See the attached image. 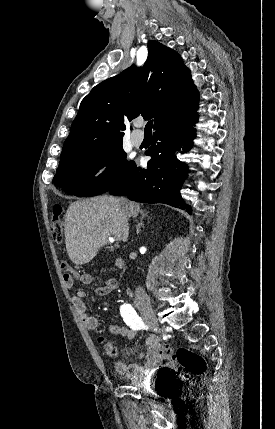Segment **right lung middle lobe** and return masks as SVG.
<instances>
[{
	"label": "right lung middle lobe",
	"mask_w": 275,
	"mask_h": 429,
	"mask_svg": "<svg viewBox=\"0 0 275 429\" xmlns=\"http://www.w3.org/2000/svg\"><path fill=\"white\" fill-rule=\"evenodd\" d=\"M104 166H107L105 171L95 177ZM133 166L134 162L126 160L120 139L101 149L60 162L53 182L71 195L96 196L120 184Z\"/></svg>",
	"instance_id": "dd1d6c3e"
}]
</instances>
